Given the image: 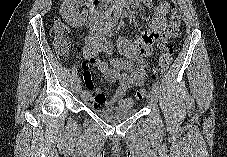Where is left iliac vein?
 <instances>
[{"instance_id":"1","label":"left iliac vein","mask_w":227,"mask_h":157,"mask_svg":"<svg viewBox=\"0 0 227 157\" xmlns=\"http://www.w3.org/2000/svg\"><path fill=\"white\" fill-rule=\"evenodd\" d=\"M149 98L153 103H156L158 100L157 92L152 89L149 93Z\"/></svg>"}]
</instances>
